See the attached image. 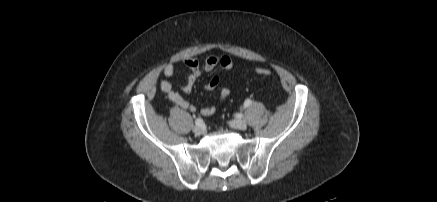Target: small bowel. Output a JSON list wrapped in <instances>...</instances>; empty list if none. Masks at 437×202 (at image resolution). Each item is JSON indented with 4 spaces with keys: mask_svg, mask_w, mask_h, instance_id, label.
<instances>
[{
    "mask_svg": "<svg viewBox=\"0 0 437 202\" xmlns=\"http://www.w3.org/2000/svg\"><path fill=\"white\" fill-rule=\"evenodd\" d=\"M184 64L189 70L186 83L179 87L180 91L189 94L195 87L197 79L205 72H210L215 69H221L224 71H230L232 69L233 63L231 59L227 56H209L202 63L194 57H188L185 59ZM176 72L173 64H167L163 69V74L166 77H172ZM219 85V77L213 76L210 81L204 86L206 91H213ZM160 89L164 91L169 100L175 103L182 109L189 110L191 112H196V107L190 102L185 100L182 95L174 89L173 85L167 80H161L159 83ZM230 96V90L228 88H223L218 95V100L220 102L226 100ZM216 108L214 106H208L200 109V114L203 116H209L214 114Z\"/></svg>",
    "mask_w": 437,
    "mask_h": 202,
    "instance_id": "obj_1",
    "label": "small bowel"
}]
</instances>
